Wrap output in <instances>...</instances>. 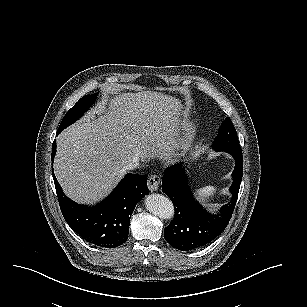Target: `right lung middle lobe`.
<instances>
[{"mask_svg": "<svg viewBox=\"0 0 307 307\" xmlns=\"http://www.w3.org/2000/svg\"><path fill=\"white\" fill-rule=\"evenodd\" d=\"M97 93L92 95H86L82 97L64 116L57 134H59L62 130H64L67 126L74 123L78 120L89 108V106L95 101L97 98Z\"/></svg>", "mask_w": 307, "mask_h": 307, "instance_id": "obj_1", "label": "right lung middle lobe"}]
</instances>
